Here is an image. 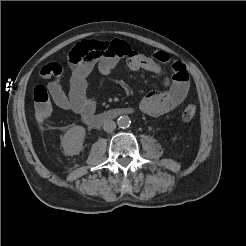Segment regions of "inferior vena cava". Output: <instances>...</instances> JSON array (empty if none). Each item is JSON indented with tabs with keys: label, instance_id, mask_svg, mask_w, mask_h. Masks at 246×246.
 Masks as SVG:
<instances>
[{
	"label": "inferior vena cava",
	"instance_id": "602c4592",
	"mask_svg": "<svg viewBox=\"0 0 246 246\" xmlns=\"http://www.w3.org/2000/svg\"><path fill=\"white\" fill-rule=\"evenodd\" d=\"M116 128L114 121L108 120L104 122L103 129L105 132H112Z\"/></svg>",
	"mask_w": 246,
	"mask_h": 246
}]
</instances>
